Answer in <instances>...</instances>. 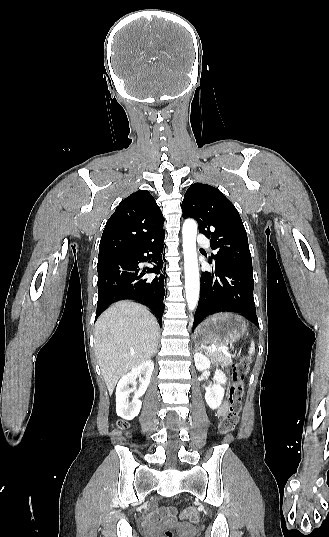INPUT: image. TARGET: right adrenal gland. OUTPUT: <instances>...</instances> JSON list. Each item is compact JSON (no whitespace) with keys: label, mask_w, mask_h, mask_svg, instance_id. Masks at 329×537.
I'll list each match as a JSON object with an SVG mask.
<instances>
[{"label":"right adrenal gland","mask_w":329,"mask_h":537,"mask_svg":"<svg viewBox=\"0 0 329 537\" xmlns=\"http://www.w3.org/2000/svg\"><path fill=\"white\" fill-rule=\"evenodd\" d=\"M156 353H157V348H156L155 351H154V355H156Z\"/></svg>","instance_id":"1"}]
</instances>
